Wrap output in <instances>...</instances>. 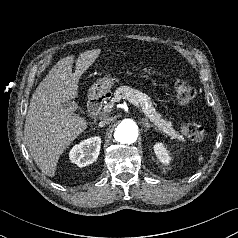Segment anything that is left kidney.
I'll use <instances>...</instances> for the list:
<instances>
[{
	"mask_svg": "<svg viewBox=\"0 0 238 238\" xmlns=\"http://www.w3.org/2000/svg\"><path fill=\"white\" fill-rule=\"evenodd\" d=\"M154 151L160 162L163 164H168L170 162L171 157L162 143H156L154 145Z\"/></svg>",
	"mask_w": 238,
	"mask_h": 238,
	"instance_id": "5707ae66",
	"label": "left kidney"
}]
</instances>
